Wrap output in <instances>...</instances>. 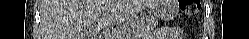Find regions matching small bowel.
Wrapping results in <instances>:
<instances>
[{"label":"small bowel","mask_w":249,"mask_h":39,"mask_svg":"<svg viewBox=\"0 0 249 39\" xmlns=\"http://www.w3.org/2000/svg\"><path fill=\"white\" fill-rule=\"evenodd\" d=\"M179 29L173 28V27H162L158 29L154 36L153 39H168L172 38L173 36L179 34Z\"/></svg>","instance_id":"c3829d8e"}]
</instances>
